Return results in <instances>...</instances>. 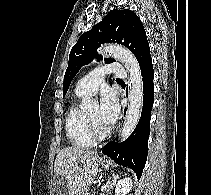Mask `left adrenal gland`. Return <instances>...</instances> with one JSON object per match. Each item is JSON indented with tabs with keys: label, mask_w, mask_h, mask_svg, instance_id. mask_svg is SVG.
Wrapping results in <instances>:
<instances>
[{
	"label": "left adrenal gland",
	"mask_w": 211,
	"mask_h": 195,
	"mask_svg": "<svg viewBox=\"0 0 211 195\" xmlns=\"http://www.w3.org/2000/svg\"><path fill=\"white\" fill-rule=\"evenodd\" d=\"M119 175L118 174H113L112 175V179L111 177L108 178L104 184V189H105V192H109L110 189L112 188L113 185H115L117 179H118Z\"/></svg>",
	"instance_id": "a2214340"
}]
</instances>
